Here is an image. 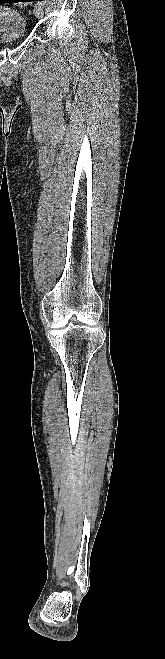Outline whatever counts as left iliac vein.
<instances>
[{
	"label": "left iliac vein",
	"instance_id": "1",
	"mask_svg": "<svg viewBox=\"0 0 165 659\" xmlns=\"http://www.w3.org/2000/svg\"><path fill=\"white\" fill-rule=\"evenodd\" d=\"M33 12H34V15H35L37 18H42L43 15H44L43 7H41L39 4H37V5L34 6V8H33Z\"/></svg>",
	"mask_w": 165,
	"mask_h": 659
}]
</instances>
